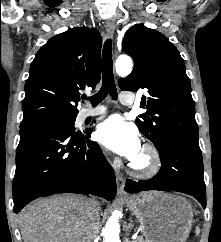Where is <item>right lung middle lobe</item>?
I'll return each mask as SVG.
<instances>
[{"label":"right lung middle lobe","mask_w":221,"mask_h":242,"mask_svg":"<svg viewBox=\"0 0 221 242\" xmlns=\"http://www.w3.org/2000/svg\"><path fill=\"white\" fill-rule=\"evenodd\" d=\"M75 119H76V115H71V116L60 117V118L51 119V120L42 121V122L57 124V125H63V126H69L72 129H74Z\"/></svg>","instance_id":"dd1d6c3e"}]
</instances>
